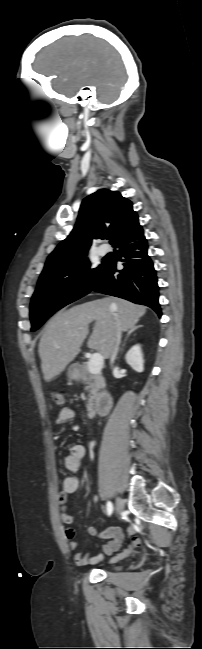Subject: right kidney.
Returning <instances> with one entry per match:
<instances>
[{"instance_id": "ca27d5eb", "label": "right kidney", "mask_w": 202, "mask_h": 649, "mask_svg": "<svg viewBox=\"0 0 202 649\" xmlns=\"http://www.w3.org/2000/svg\"><path fill=\"white\" fill-rule=\"evenodd\" d=\"M126 362L135 371L142 372L144 370V360L139 345L133 346L125 356Z\"/></svg>"}]
</instances>
